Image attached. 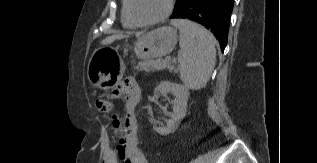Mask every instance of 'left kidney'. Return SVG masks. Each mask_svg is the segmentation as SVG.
I'll return each instance as SVG.
<instances>
[{
    "instance_id": "obj_1",
    "label": "left kidney",
    "mask_w": 317,
    "mask_h": 163,
    "mask_svg": "<svg viewBox=\"0 0 317 163\" xmlns=\"http://www.w3.org/2000/svg\"><path fill=\"white\" fill-rule=\"evenodd\" d=\"M172 93L175 96L173 104V113L170 115V119L166 126L153 127V130L160 135H168L174 132L180 121L185 117L187 111V101L189 92L186 87L181 84L172 83L169 81H162L154 90V96L158 97V94Z\"/></svg>"
}]
</instances>
